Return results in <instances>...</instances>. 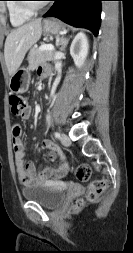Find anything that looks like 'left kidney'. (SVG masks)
Returning a JSON list of instances; mask_svg holds the SVG:
<instances>
[{
  "label": "left kidney",
  "mask_w": 133,
  "mask_h": 253,
  "mask_svg": "<svg viewBox=\"0 0 133 253\" xmlns=\"http://www.w3.org/2000/svg\"><path fill=\"white\" fill-rule=\"evenodd\" d=\"M88 51V39L83 32H80L74 37L70 46V54L74 59L76 67L81 68L84 65Z\"/></svg>",
  "instance_id": "obj_1"
}]
</instances>
